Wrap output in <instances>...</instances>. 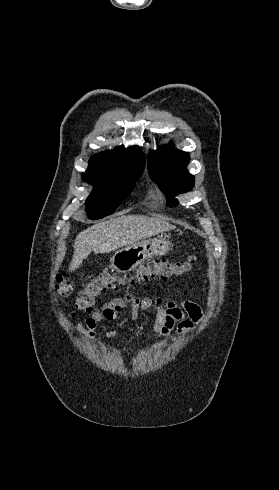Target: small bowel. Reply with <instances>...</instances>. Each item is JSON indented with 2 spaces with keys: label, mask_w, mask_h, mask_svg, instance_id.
I'll list each match as a JSON object with an SVG mask.
<instances>
[{
  "label": "small bowel",
  "mask_w": 279,
  "mask_h": 490,
  "mask_svg": "<svg viewBox=\"0 0 279 490\" xmlns=\"http://www.w3.org/2000/svg\"><path fill=\"white\" fill-rule=\"evenodd\" d=\"M126 308H129L134 319L139 318L142 311L153 309L156 316L153 335L158 340L168 337L174 330L179 336H184L203 320L202 310L194 302H175L159 297H137L128 294L94 311L78 325V332L84 340L92 342L96 338L95 329L98 324L116 321ZM110 339L114 341L115 335L111 334Z\"/></svg>",
  "instance_id": "obj_1"
}]
</instances>
